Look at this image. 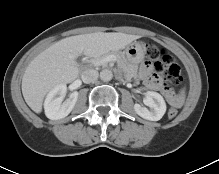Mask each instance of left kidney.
Listing matches in <instances>:
<instances>
[{"instance_id":"5707ae66","label":"left kidney","mask_w":219,"mask_h":174,"mask_svg":"<svg viewBox=\"0 0 219 174\" xmlns=\"http://www.w3.org/2000/svg\"><path fill=\"white\" fill-rule=\"evenodd\" d=\"M143 103L148 106L149 109L140 104H135L134 110L144 119L158 121L166 112V103L163 97L157 92L147 91Z\"/></svg>"}]
</instances>
